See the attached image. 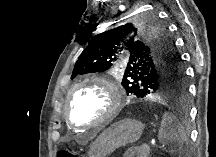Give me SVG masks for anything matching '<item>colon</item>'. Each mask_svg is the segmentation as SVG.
<instances>
[{"label": "colon", "instance_id": "1", "mask_svg": "<svg viewBox=\"0 0 216 157\" xmlns=\"http://www.w3.org/2000/svg\"><path fill=\"white\" fill-rule=\"evenodd\" d=\"M58 157H76L75 153L70 149H63L59 152Z\"/></svg>", "mask_w": 216, "mask_h": 157}]
</instances>
